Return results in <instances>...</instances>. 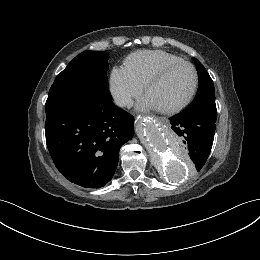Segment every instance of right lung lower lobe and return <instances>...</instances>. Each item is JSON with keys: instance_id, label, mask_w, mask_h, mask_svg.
Returning <instances> with one entry per match:
<instances>
[{"instance_id": "98d812e1", "label": "right lung lower lobe", "mask_w": 260, "mask_h": 260, "mask_svg": "<svg viewBox=\"0 0 260 260\" xmlns=\"http://www.w3.org/2000/svg\"><path fill=\"white\" fill-rule=\"evenodd\" d=\"M45 110L46 143L57 169L82 187L107 184L120 147L133 137V116L112 102L108 89L88 99L57 101Z\"/></svg>"}]
</instances>
